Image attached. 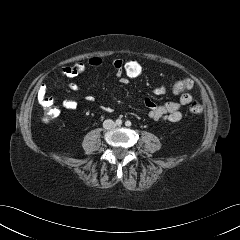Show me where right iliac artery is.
I'll use <instances>...</instances> for the list:
<instances>
[{"label":"right iliac artery","instance_id":"1","mask_svg":"<svg viewBox=\"0 0 240 240\" xmlns=\"http://www.w3.org/2000/svg\"><path fill=\"white\" fill-rule=\"evenodd\" d=\"M116 124H117L118 126H120V125L122 124V120H121V119H117V120H116Z\"/></svg>","mask_w":240,"mask_h":240}]
</instances>
